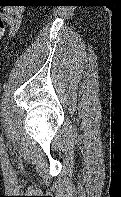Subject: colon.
I'll return each instance as SVG.
<instances>
[{
    "instance_id": "1",
    "label": "colon",
    "mask_w": 121,
    "mask_h": 197,
    "mask_svg": "<svg viewBox=\"0 0 121 197\" xmlns=\"http://www.w3.org/2000/svg\"><path fill=\"white\" fill-rule=\"evenodd\" d=\"M5 33L4 20L0 17V40L3 38Z\"/></svg>"
}]
</instances>
